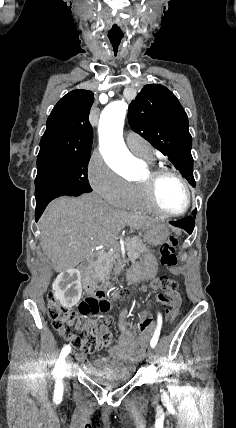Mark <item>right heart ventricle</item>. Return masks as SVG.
Here are the masks:
<instances>
[{"label": "right heart ventricle", "mask_w": 236, "mask_h": 428, "mask_svg": "<svg viewBox=\"0 0 236 428\" xmlns=\"http://www.w3.org/2000/svg\"><path fill=\"white\" fill-rule=\"evenodd\" d=\"M146 161L150 163L152 162V160H146ZM122 208L127 210L161 215L147 201L142 185L140 183H135L130 185V191H129L128 197L124 202V205Z\"/></svg>", "instance_id": "obj_1"}]
</instances>
